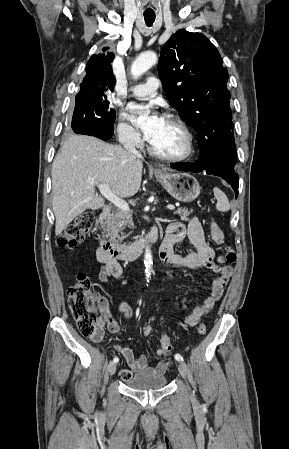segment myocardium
<instances>
[{
    "mask_svg": "<svg viewBox=\"0 0 289 449\" xmlns=\"http://www.w3.org/2000/svg\"><path fill=\"white\" fill-rule=\"evenodd\" d=\"M164 120H166L167 122L176 126L183 133L184 138H185V143H186L185 150L183 153L178 154V155H166V154H162V153H159L158 151H156L149 142L148 143L149 153L156 158H159V159L165 160V161H171V162L185 161V160L189 159L190 157H192V155L194 153V139H193V135H192L189 127L184 122H182L179 118H177L173 115H165Z\"/></svg>",
    "mask_w": 289,
    "mask_h": 449,
    "instance_id": "1",
    "label": "myocardium"
}]
</instances>
